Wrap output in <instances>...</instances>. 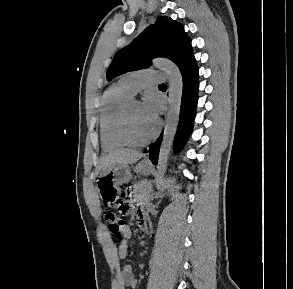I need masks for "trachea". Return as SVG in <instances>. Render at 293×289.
Returning <instances> with one entry per match:
<instances>
[{"label": "trachea", "mask_w": 293, "mask_h": 289, "mask_svg": "<svg viewBox=\"0 0 293 289\" xmlns=\"http://www.w3.org/2000/svg\"><path fill=\"white\" fill-rule=\"evenodd\" d=\"M160 86H166L165 84H160Z\"/></svg>", "instance_id": "1"}]
</instances>
